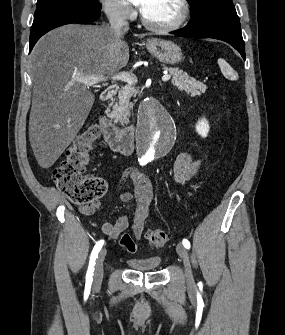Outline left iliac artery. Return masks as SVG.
<instances>
[{
    "label": "left iliac artery",
    "mask_w": 285,
    "mask_h": 335,
    "mask_svg": "<svg viewBox=\"0 0 285 335\" xmlns=\"http://www.w3.org/2000/svg\"><path fill=\"white\" fill-rule=\"evenodd\" d=\"M182 243L186 249L190 248V242L187 239H183Z\"/></svg>",
    "instance_id": "obj_1"
}]
</instances>
